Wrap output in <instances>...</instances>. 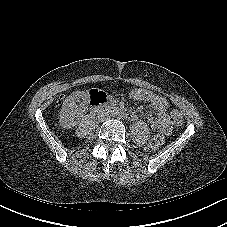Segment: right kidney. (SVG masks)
I'll return each instance as SVG.
<instances>
[{
	"label": "right kidney",
	"instance_id": "ca27d5eb",
	"mask_svg": "<svg viewBox=\"0 0 227 227\" xmlns=\"http://www.w3.org/2000/svg\"><path fill=\"white\" fill-rule=\"evenodd\" d=\"M80 98V94H73L65 100L60 112V121L64 126L73 127L77 124L79 114L76 102H79Z\"/></svg>",
	"mask_w": 227,
	"mask_h": 227
}]
</instances>
